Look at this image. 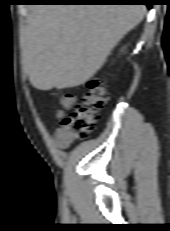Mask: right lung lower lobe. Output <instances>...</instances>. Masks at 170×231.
Masks as SVG:
<instances>
[{
	"instance_id": "1",
	"label": "right lung lower lobe",
	"mask_w": 170,
	"mask_h": 231,
	"mask_svg": "<svg viewBox=\"0 0 170 231\" xmlns=\"http://www.w3.org/2000/svg\"><path fill=\"white\" fill-rule=\"evenodd\" d=\"M31 2H45V3H144L151 7L150 0H31Z\"/></svg>"
}]
</instances>
